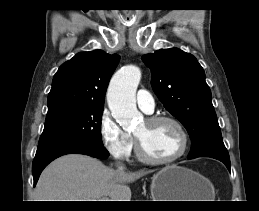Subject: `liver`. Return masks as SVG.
<instances>
[{"label": "liver", "instance_id": "obj_1", "mask_svg": "<svg viewBox=\"0 0 259 211\" xmlns=\"http://www.w3.org/2000/svg\"><path fill=\"white\" fill-rule=\"evenodd\" d=\"M152 171L124 172L80 154L62 156L42 172L35 189L36 201H131L130 182Z\"/></svg>", "mask_w": 259, "mask_h": 211}]
</instances>
